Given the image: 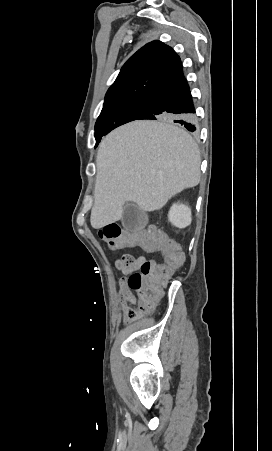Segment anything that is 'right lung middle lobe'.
Wrapping results in <instances>:
<instances>
[{
	"label": "right lung middle lobe",
	"mask_w": 272,
	"mask_h": 451,
	"mask_svg": "<svg viewBox=\"0 0 272 451\" xmlns=\"http://www.w3.org/2000/svg\"><path fill=\"white\" fill-rule=\"evenodd\" d=\"M151 97H136L104 103L95 124L96 146L114 128L136 120L149 105Z\"/></svg>",
	"instance_id": "dd1d6c3e"
}]
</instances>
